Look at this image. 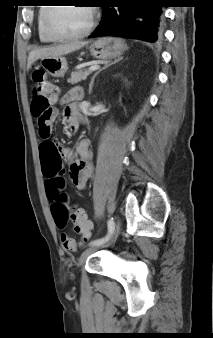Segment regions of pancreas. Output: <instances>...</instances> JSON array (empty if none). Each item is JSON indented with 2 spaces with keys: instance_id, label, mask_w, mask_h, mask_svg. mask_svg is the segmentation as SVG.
<instances>
[{
  "instance_id": "cf45deb5",
  "label": "pancreas",
  "mask_w": 213,
  "mask_h": 338,
  "mask_svg": "<svg viewBox=\"0 0 213 338\" xmlns=\"http://www.w3.org/2000/svg\"><path fill=\"white\" fill-rule=\"evenodd\" d=\"M90 71L78 70L71 73V77L68 79V83L76 84L82 80H85L89 75Z\"/></svg>"
}]
</instances>
